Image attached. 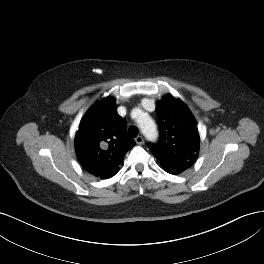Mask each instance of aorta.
<instances>
[{"label": "aorta", "instance_id": "762f6f07", "mask_svg": "<svg viewBox=\"0 0 264 264\" xmlns=\"http://www.w3.org/2000/svg\"><path fill=\"white\" fill-rule=\"evenodd\" d=\"M139 125L142 133L148 140H155L157 137V129L154 121L148 117L143 115V119L139 121Z\"/></svg>", "mask_w": 264, "mask_h": 264}]
</instances>
